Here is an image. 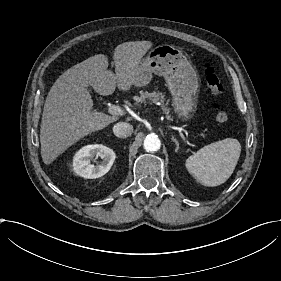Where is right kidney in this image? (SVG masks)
<instances>
[{"instance_id":"ca27d5eb","label":"right kidney","mask_w":281,"mask_h":281,"mask_svg":"<svg viewBox=\"0 0 281 281\" xmlns=\"http://www.w3.org/2000/svg\"><path fill=\"white\" fill-rule=\"evenodd\" d=\"M94 157H100L102 162L91 164ZM115 152L101 144L87 145L78 150L73 157L74 172L86 179H95L105 175L115 161Z\"/></svg>"}]
</instances>
